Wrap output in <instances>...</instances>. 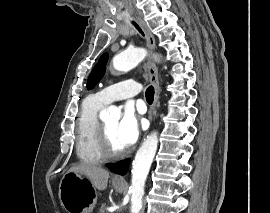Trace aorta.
<instances>
[{
    "mask_svg": "<svg viewBox=\"0 0 270 213\" xmlns=\"http://www.w3.org/2000/svg\"><path fill=\"white\" fill-rule=\"evenodd\" d=\"M147 55L143 48L127 49L113 58V67L117 71L127 72L136 67ZM102 119H120L121 111L115 106L101 111ZM158 147V136L156 132L151 133L141 144L132 163L131 179V213H139L142 208L145 182L155 157Z\"/></svg>",
    "mask_w": 270,
    "mask_h": 213,
    "instance_id": "762f6f07",
    "label": "aorta"
}]
</instances>
